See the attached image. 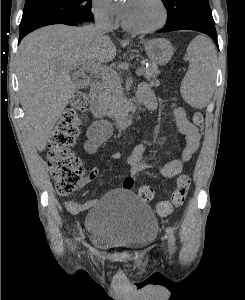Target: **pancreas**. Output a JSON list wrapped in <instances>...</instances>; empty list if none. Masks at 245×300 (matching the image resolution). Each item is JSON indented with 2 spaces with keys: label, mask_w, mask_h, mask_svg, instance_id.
Here are the masks:
<instances>
[{
  "label": "pancreas",
  "mask_w": 245,
  "mask_h": 300,
  "mask_svg": "<svg viewBox=\"0 0 245 300\" xmlns=\"http://www.w3.org/2000/svg\"><path fill=\"white\" fill-rule=\"evenodd\" d=\"M148 68H143L145 78L150 82V85L158 86L159 81L156 77L159 74L157 65L149 61ZM103 92L101 94V104L105 114L112 119H119L126 111V98L122 89L121 76L114 70H110L102 77Z\"/></svg>",
  "instance_id": "cf45deb5"
}]
</instances>
